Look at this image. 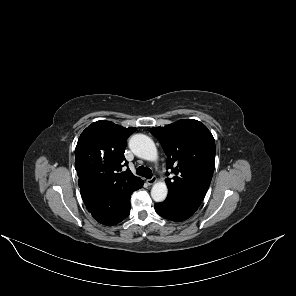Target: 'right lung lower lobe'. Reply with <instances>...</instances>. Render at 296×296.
Here are the masks:
<instances>
[{"instance_id": "1", "label": "right lung lower lobe", "mask_w": 296, "mask_h": 296, "mask_svg": "<svg viewBox=\"0 0 296 296\" xmlns=\"http://www.w3.org/2000/svg\"><path fill=\"white\" fill-rule=\"evenodd\" d=\"M143 183L141 180L128 188L98 190L83 180L79 183V187L86 208L93 218L101 224L111 226L123 221L129 215L131 194L141 188Z\"/></svg>"}]
</instances>
